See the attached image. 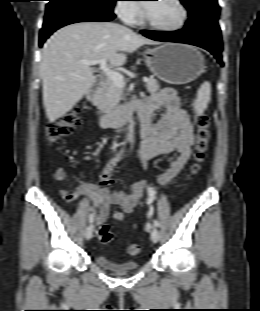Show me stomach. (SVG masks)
Returning <instances> with one entry per match:
<instances>
[{
  "instance_id": "0dacf381",
  "label": "stomach",
  "mask_w": 260,
  "mask_h": 311,
  "mask_svg": "<svg viewBox=\"0 0 260 311\" xmlns=\"http://www.w3.org/2000/svg\"><path fill=\"white\" fill-rule=\"evenodd\" d=\"M146 64L159 79L169 84H186L205 70L204 56L190 45L165 43L145 51Z\"/></svg>"
}]
</instances>
